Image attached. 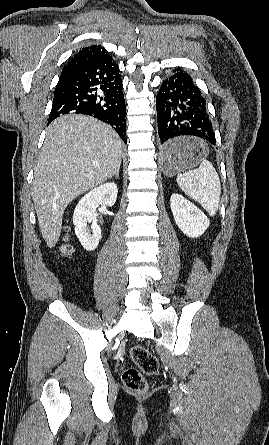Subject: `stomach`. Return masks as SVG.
I'll return each mask as SVG.
<instances>
[{
  "label": "stomach",
  "mask_w": 269,
  "mask_h": 445,
  "mask_svg": "<svg viewBox=\"0 0 269 445\" xmlns=\"http://www.w3.org/2000/svg\"><path fill=\"white\" fill-rule=\"evenodd\" d=\"M178 143L181 148L175 154H160L161 168L166 176L195 167L207 151L204 142L197 138H181Z\"/></svg>",
  "instance_id": "stomach-1"
}]
</instances>
